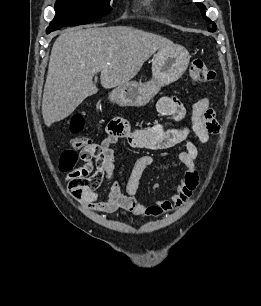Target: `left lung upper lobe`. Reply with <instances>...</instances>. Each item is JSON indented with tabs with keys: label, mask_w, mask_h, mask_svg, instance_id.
Returning <instances> with one entry per match:
<instances>
[{
	"label": "left lung upper lobe",
	"mask_w": 261,
	"mask_h": 306,
	"mask_svg": "<svg viewBox=\"0 0 261 306\" xmlns=\"http://www.w3.org/2000/svg\"><path fill=\"white\" fill-rule=\"evenodd\" d=\"M196 4H197V6L200 8V11H201V13H202V16H203L208 22H211V20L206 16V8H205V6H204L203 4H201V3H196ZM212 24H213L212 28H208V30H209L210 32L216 31V24H215L214 22H213Z\"/></svg>",
	"instance_id": "left-lung-upper-lobe-1"
}]
</instances>
